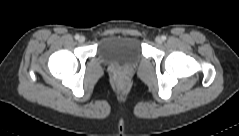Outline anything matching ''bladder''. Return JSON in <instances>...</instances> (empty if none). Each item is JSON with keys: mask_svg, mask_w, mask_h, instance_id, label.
I'll use <instances>...</instances> for the list:
<instances>
[{"mask_svg": "<svg viewBox=\"0 0 239 136\" xmlns=\"http://www.w3.org/2000/svg\"><path fill=\"white\" fill-rule=\"evenodd\" d=\"M98 56L103 63L133 66L142 59V45L134 35H108L101 39Z\"/></svg>", "mask_w": 239, "mask_h": 136, "instance_id": "obj_1", "label": "bladder"}]
</instances>
